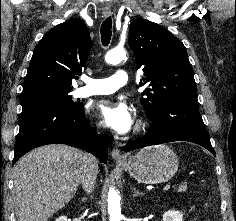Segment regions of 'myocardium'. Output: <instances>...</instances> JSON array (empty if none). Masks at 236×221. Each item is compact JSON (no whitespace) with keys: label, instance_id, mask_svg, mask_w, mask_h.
Here are the masks:
<instances>
[{"label":"myocardium","instance_id":"obj_1","mask_svg":"<svg viewBox=\"0 0 236 221\" xmlns=\"http://www.w3.org/2000/svg\"><path fill=\"white\" fill-rule=\"evenodd\" d=\"M141 129H142V123L141 122H137L136 125H135L134 131L136 133H138L139 131H141Z\"/></svg>","mask_w":236,"mask_h":221}]
</instances>
